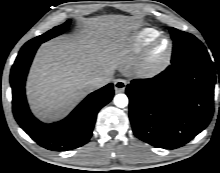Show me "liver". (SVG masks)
<instances>
[{
  "label": "liver",
  "mask_w": 220,
  "mask_h": 173,
  "mask_svg": "<svg viewBox=\"0 0 220 173\" xmlns=\"http://www.w3.org/2000/svg\"><path fill=\"white\" fill-rule=\"evenodd\" d=\"M131 17L88 18L80 35L58 37L38 49L27 79L31 109L45 120L68 113L95 89L91 80L113 74L125 56Z\"/></svg>",
  "instance_id": "1"
}]
</instances>
